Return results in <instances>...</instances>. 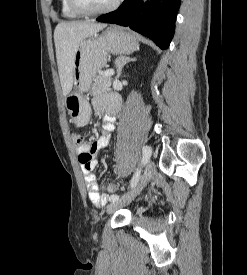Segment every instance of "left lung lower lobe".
I'll return each instance as SVG.
<instances>
[{
    "mask_svg": "<svg viewBox=\"0 0 247 275\" xmlns=\"http://www.w3.org/2000/svg\"><path fill=\"white\" fill-rule=\"evenodd\" d=\"M180 0H126L114 12L104 14L100 22L128 26L152 39L161 49H167L174 35Z\"/></svg>",
    "mask_w": 247,
    "mask_h": 275,
    "instance_id": "1",
    "label": "left lung lower lobe"
}]
</instances>
